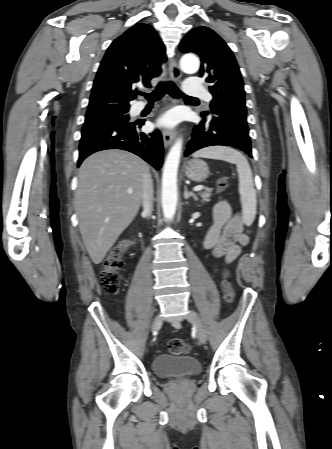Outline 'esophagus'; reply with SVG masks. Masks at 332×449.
Listing matches in <instances>:
<instances>
[{
  "label": "esophagus",
  "instance_id": "1",
  "mask_svg": "<svg viewBox=\"0 0 332 449\" xmlns=\"http://www.w3.org/2000/svg\"><path fill=\"white\" fill-rule=\"evenodd\" d=\"M169 73H170L171 79L174 81H179V79L181 78L182 73H181V70H180L175 59L170 60ZM162 136H163L164 145L167 148L174 141V139L176 137V131L164 129L162 131Z\"/></svg>",
  "mask_w": 332,
  "mask_h": 449
}]
</instances>
